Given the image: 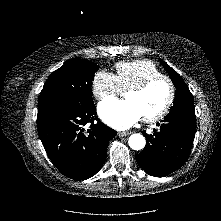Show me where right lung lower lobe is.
I'll use <instances>...</instances> for the list:
<instances>
[{
  "mask_svg": "<svg viewBox=\"0 0 221 221\" xmlns=\"http://www.w3.org/2000/svg\"><path fill=\"white\" fill-rule=\"evenodd\" d=\"M95 120L92 98L38 109L37 127L45 151L57 169L71 179L95 175L105 161L109 141L117 134Z\"/></svg>",
  "mask_w": 221,
  "mask_h": 221,
  "instance_id": "right-lung-lower-lobe-1",
  "label": "right lung lower lobe"
}]
</instances>
